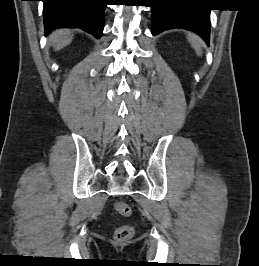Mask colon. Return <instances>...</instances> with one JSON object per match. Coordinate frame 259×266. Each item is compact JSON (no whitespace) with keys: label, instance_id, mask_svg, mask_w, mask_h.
<instances>
[{"label":"colon","instance_id":"obj_1","mask_svg":"<svg viewBox=\"0 0 259 266\" xmlns=\"http://www.w3.org/2000/svg\"><path fill=\"white\" fill-rule=\"evenodd\" d=\"M115 210L122 216L127 217L131 214V207L125 202H115ZM134 228L130 225H122L118 227L114 233V237L118 241H127L132 238Z\"/></svg>","mask_w":259,"mask_h":266}]
</instances>
